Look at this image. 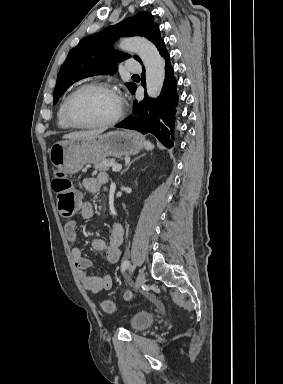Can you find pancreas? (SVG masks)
Masks as SVG:
<instances>
[{
    "instance_id": "cf45deb5",
    "label": "pancreas",
    "mask_w": 283,
    "mask_h": 384,
    "mask_svg": "<svg viewBox=\"0 0 283 384\" xmlns=\"http://www.w3.org/2000/svg\"><path fill=\"white\" fill-rule=\"evenodd\" d=\"M114 162L115 160H102L99 164H94V168L100 172H108L109 168H113Z\"/></svg>"
}]
</instances>
